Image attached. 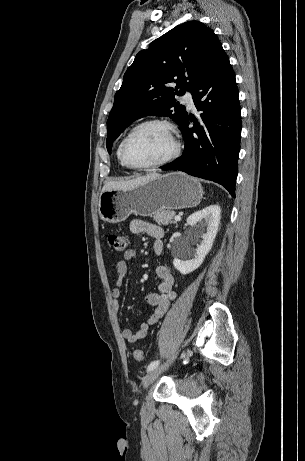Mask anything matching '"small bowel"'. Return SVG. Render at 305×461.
<instances>
[{
  "mask_svg": "<svg viewBox=\"0 0 305 461\" xmlns=\"http://www.w3.org/2000/svg\"><path fill=\"white\" fill-rule=\"evenodd\" d=\"M131 231L137 234H148L154 238L153 251L156 255L163 253L162 238L164 231L158 225L149 223L144 220L136 219L131 222ZM137 252L134 249H128L124 253V259L116 263L117 280L115 287L111 291L113 307L116 311L120 309L119 299L121 296V286L123 278L127 273L126 261L135 260ZM156 274L160 279L157 291L150 292L147 295V301L155 306V309L146 323H142L136 332L129 328H124L122 331L123 339L129 344H135L140 339L144 338L149 331L151 325L157 323L160 318L169 310L172 301L176 298L177 293L174 289L175 279L170 269L165 265H160L156 268Z\"/></svg>",
  "mask_w": 305,
  "mask_h": 461,
  "instance_id": "small-bowel-1",
  "label": "small bowel"
}]
</instances>
